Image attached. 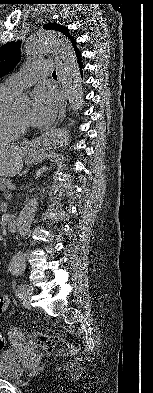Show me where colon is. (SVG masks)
<instances>
[{
	"instance_id": "5ec220e1",
	"label": "colon",
	"mask_w": 153,
	"mask_h": 393,
	"mask_svg": "<svg viewBox=\"0 0 153 393\" xmlns=\"http://www.w3.org/2000/svg\"><path fill=\"white\" fill-rule=\"evenodd\" d=\"M0 308H4V304L2 302H0ZM12 333L18 334V332H16V330L14 329ZM27 338H28V343L31 346L41 348L43 351L51 355L73 356L76 353V349L73 346L68 344L64 339L56 336L44 335L35 332V333H29L27 335ZM5 345H6V339L2 334H0V351H2L5 348Z\"/></svg>"
}]
</instances>
